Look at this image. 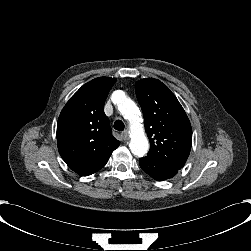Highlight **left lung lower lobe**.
I'll use <instances>...</instances> for the list:
<instances>
[{"instance_id":"left-lung-lower-lobe-1","label":"left lung lower lobe","mask_w":251,"mask_h":251,"mask_svg":"<svg viewBox=\"0 0 251 251\" xmlns=\"http://www.w3.org/2000/svg\"><path fill=\"white\" fill-rule=\"evenodd\" d=\"M139 164L144 172L157 181H163L172 178L179 171L178 169L154 161L147 156L140 158Z\"/></svg>"}]
</instances>
